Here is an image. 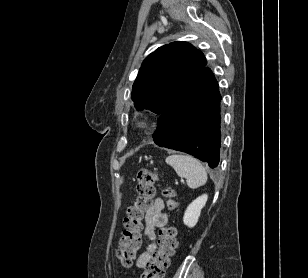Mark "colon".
I'll use <instances>...</instances> for the list:
<instances>
[{"mask_svg": "<svg viewBox=\"0 0 308 278\" xmlns=\"http://www.w3.org/2000/svg\"><path fill=\"white\" fill-rule=\"evenodd\" d=\"M137 199L127 210L124 219V231L118 248V258L123 266H131L141 247L142 221L152 206L155 196V185L158 181L156 173L147 169L138 172ZM170 209H175L174 191L170 187L164 190ZM177 232L173 226L159 231V247L153 252L149 262L144 267L140 278H164L165 271L170 264L177 246Z\"/></svg>", "mask_w": 308, "mask_h": 278, "instance_id": "obj_1", "label": "colon"}]
</instances>
